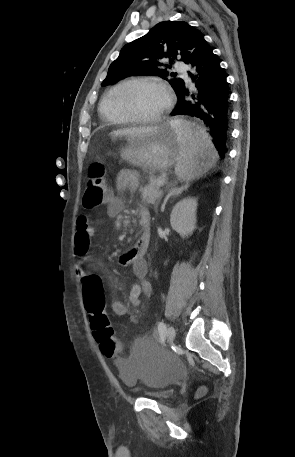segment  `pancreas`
Returning a JSON list of instances; mask_svg holds the SVG:
<instances>
[{
  "mask_svg": "<svg viewBox=\"0 0 295 457\" xmlns=\"http://www.w3.org/2000/svg\"><path fill=\"white\" fill-rule=\"evenodd\" d=\"M160 178H151L149 184L140 189L142 193V201L148 204L158 203L163 195L160 186L157 184V181Z\"/></svg>",
  "mask_w": 295,
  "mask_h": 457,
  "instance_id": "cf45deb5",
  "label": "pancreas"
}]
</instances>
